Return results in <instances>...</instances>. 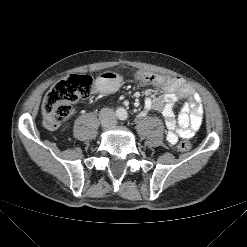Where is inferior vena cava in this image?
Here are the masks:
<instances>
[{
	"mask_svg": "<svg viewBox=\"0 0 247 247\" xmlns=\"http://www.w3.org/2000/svg\"><path fill=\"white\" fill-rule=\"evenodd\" d=\"M99 119L104 125L111 126L116 122V114L113 109L103 108L99 112Z\"/></svg>",
	"mask_w": 247,
	"mask_h": 247,
	"instance_id": "1",
	"label": "inferior vena cava"
}]
</instances>
